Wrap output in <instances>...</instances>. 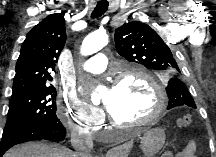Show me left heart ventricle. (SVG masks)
<instances>
[{"label": "left heart ventricle", "mask_w": 216, "mask_h": 157, "mask_svg": "<svg viewBox=\"0 0 216 157\" xmlns=\"http://www.w3.org/2000/svg\"><path fill=\"white\" fill-rule=\"evenodd\" d=\"M108 110L118 120L134 122L148 117L155 108L156 97L142 79L129 77L104 95Z\"/></svg>", "instance_id": "obj_1"}]
</instances>
